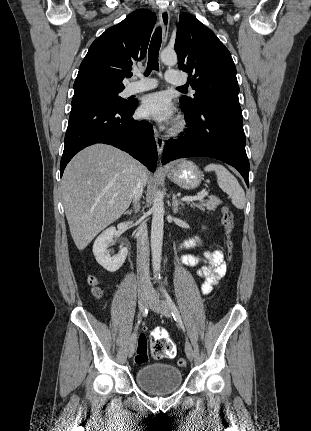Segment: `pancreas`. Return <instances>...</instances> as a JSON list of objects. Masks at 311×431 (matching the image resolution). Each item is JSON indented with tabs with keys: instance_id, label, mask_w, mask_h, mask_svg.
<instances>
[{
	"instance_id": "obj_1",
	"label": "pancreas",
	"mask_w": 311,
	"mask_h": 431,
	"mask_svg": "<svg viewBox=\"0 0 311 431\" xmlns=\"http://www.w3.org/2000/svg\"><path fill=\"white\" fill-rule=\"evenodd\" d=\"M222 204L217 196H209V200H199L198 204H190L191 208H199L202 212L205 210H215L217 206Z\"/></svg>"
}]
</instances>
